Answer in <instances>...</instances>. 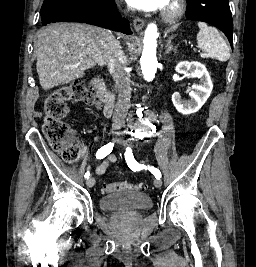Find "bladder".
Here are the masks:
<instances>
[{"instance_id": "bladder-1", "label": "bladder", "mask_w": 256, "mask_h": 267, "mask_svg": "<svg viewBox=\"0 0 256 267\" xmlns=\"http://www.w3.org/2000/svg\"><path fill=\"white\" fill-rule=\"evenodd\" d=\"M100 207L105 211L143 210L152 207L149 195H110L99 199Z\"/></svg>"}]
</instances>
